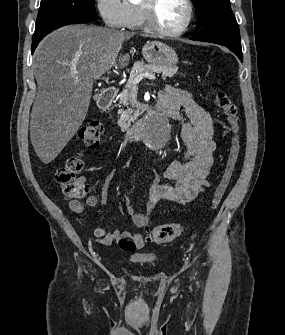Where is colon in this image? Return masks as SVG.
I'll return each mask as SVG.
<instances>
[{"label": "colon", "mask_w": 285, "mask_h": 335, "mask_svg": "<svg viewBox=\"0 0 285 335\" xmlns=\"http://www.w3.org/2000/svg\"><path fill=\"white\" fill-rule=\"evenodd\" d=\"M215 103L225 115L231 131L230 147L227 162L223 170L221 179L214 190L211 205L217 208L227 190L232 178L235 166L240 154V125L238 118V107L230 96L222 91L215 94ZM102 124L97 120H92L84 124L79 130V138L85 147L93 149L98 146L102 134ZM83 162L78 155L67 160L64 167L60 168L56 174L58 183L62 186L64 193L74 199L84 196L89 185L80 176ZM183 228L177 223H168L153 227L149 231V239L156 244H164L173 241L182 234ZM119 247L127 252H133L137 246L135 241L128 236H122L118 240Z\"/></svg>", "instance_id": "5ec220e1"}]
</instances>
